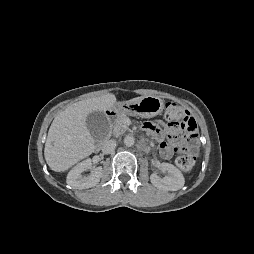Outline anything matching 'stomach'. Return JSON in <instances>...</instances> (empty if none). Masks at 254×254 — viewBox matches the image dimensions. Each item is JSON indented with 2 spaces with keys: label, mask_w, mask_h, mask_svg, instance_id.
Wrapping results in <instances>:
<instances>
[{
  "label": "stomach",
  "mask_w": 254,
  "mask_h": 254,
  "mask_svg": "<svg viewBox=\"0 0 254 254\" xmlns=\"http://www.w3.org/2000/svg\"><path fill=\"white\" fill-rule=\"evenodd\" d=\"M164 109V101L157 96H145L138 101L119 102L110 109L115 116L127 114L130 116H140L142 118H152L160 114Z\"/></svg>",
  "instance_id": "1"
}]
</instances>
